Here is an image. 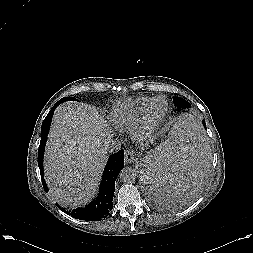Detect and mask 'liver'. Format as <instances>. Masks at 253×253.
I'll return each instance as SVG.
<instances>
[{
    "mask_svg": "<svg viewBox=\"0 0 253 253\" xmlns=\"http://www.w3.org/2000/svg\"><path fill=\"white\" fill-rule=\"evenodd\" d=\"M112 134L96 108L78 102L59 105L45 150L49 192L63 206H83L96 194Z\"/></svg>",
    "mask_w": 253,
    "mask_h": 253,
    "instance_id": "obj_1",
    "label": "liver"
}]
</instances>
